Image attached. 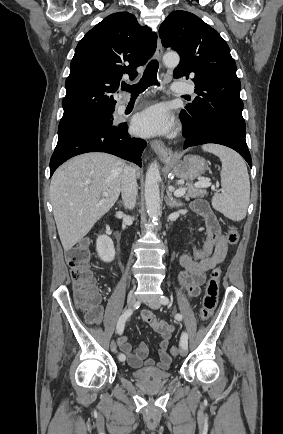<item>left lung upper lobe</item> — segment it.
<instances>
[{
    "instance_id": "5c2ea615",
    "label": "left lung upper lobe",
    "mask_w": 283,
    "mask_h": 434,
    "mask_svg": "<svg viewBox=\"0 0 283 434\" xmlns=\"http://www.w3.org/2000/svg\"><path fill=\"white\" fill-rule=\"evenodd\" d=\"M159 35L164 47L180 55L173 77L195 83L198 96L180 112L184 130L191 134L213 123L245 129L236 63L220 34L196 15L178 10L161 24Z\"/></svg>"
}]
</instances>
